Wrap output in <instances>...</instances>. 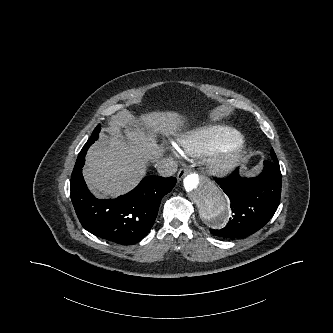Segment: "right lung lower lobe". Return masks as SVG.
Masks as SVG:
<instances>
[{"instance_id": "obj_1", "label": "right lung lower lobe", "mask_w": 333, "mask_h": 333, "mask_svg": "<svg viewBox=\"0 0 333 333\" xmlns=\"http://www.w3.org/2000/svg\"><path fill=\"white\" fill-rule=\"evenodd\" d=\"M90 138L82 148L71 177V200L82 226L97 237L123 245L140 241L151 230L161 199L176 184V178L145 177L129 193L116 199H96L88 190L82 167Z\"/></svg>"}]
</instances>
